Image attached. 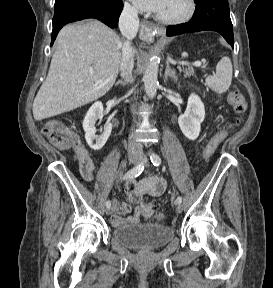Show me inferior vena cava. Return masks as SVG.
I'll list each match as a JSON object with an SVG mask.
<instances>
[{"label":"inferior vena cava","instance_id":"602c4592","mask_svg":"<svg viewBox=\"0 0 273 288\" xmlns=\"http://www.w3.org/2000/svg\"><path fill=\"white\" fill-rule=\"evenodd\" d=\"M119 28L125 37L122 62L120 66L121 77L127 82L133 81L132 70L134 67V50L131 46L132 40L135 38L139 28L138 11L136 8L125 5L119 19ZM129 154H142L143 147L137 140L136 135L132 132L128 141Z\"/></svg>","mask_w":273,"mask_h":288}]
</instances>
